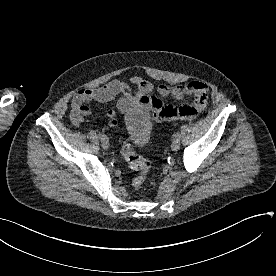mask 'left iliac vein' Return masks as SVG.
Masks as SVG:
<instances>
[{
    "label": "left iliac vein",
    "mask_w": 276,
    "mask_h": 276,
    "mask_svg": "<svg viewBox=\"0 0 276 276\" xmlns=\"http://www.w3.org/2000/svg\"><path fill=\"white\" fill-rule=\"evenodd\" d=\"M172 150L173 151H178L180 148V140L173 139V142L171 144Z\"/></svg>",
    "instance_id": "obj_1"
}]
</instances>
